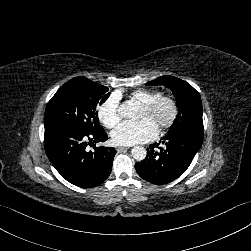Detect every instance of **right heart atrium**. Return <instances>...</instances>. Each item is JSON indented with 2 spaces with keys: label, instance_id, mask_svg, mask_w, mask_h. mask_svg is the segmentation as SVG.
<instances>
[{
  "label": "right heart atrium",
  "instance_id": "d8ad5b80",
  "mask_svg": "<svg viewBox=\"0 0 251 251\" xmlns=\"http://www.w3.org/2000/svg\"><path fill=\"white\" fill-rule=\"evenodd\" d=\"M97 115L101 123L111 129L114 128L120 121L119 113V96L110 94L98 106Z\"/></svg>",
  "mask_w": 251,
  "mask_h": 251
}]
</instances>
